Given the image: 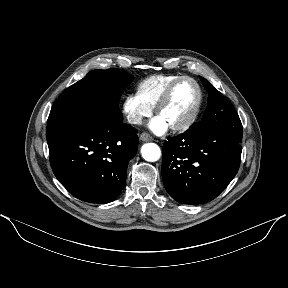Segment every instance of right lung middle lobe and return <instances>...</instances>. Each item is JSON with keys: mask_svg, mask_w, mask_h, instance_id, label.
<instances>
[{"mask_svg": "<svg viewBox=\"0 0 288 288\" xmlns=\"http://www.w3.org/2000/svg\"><path fill=\"white\" fill-rule=\"evenodd\" d=\"M132 80V75L121 69L90 71L83 79L64 90L54 102L50 115L72 102L96 97L114 117L122 120L118 103Z\"/></svg>", "mask_w": 288, "mask_h": 288, "instance_id": "right-lung-middle-lobe-1", "label": "right lung middle lobe"}]
</instances>
